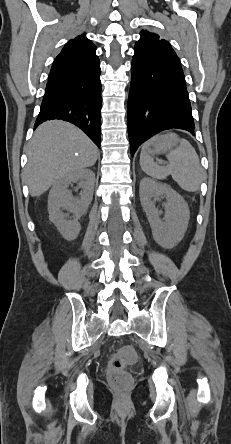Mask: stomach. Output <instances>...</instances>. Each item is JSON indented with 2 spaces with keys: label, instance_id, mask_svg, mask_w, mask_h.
Segmentation results:
<instances>
[{
  "label": "stomach",
  "instance_id": "obj_1",
  "mask_svg": "<svg viewBox=\"0 0 231 444\" xmlns=\"http://www.w3.org/2000/svg\"><path fill=\"white\" fill-rule=\"evenodd\" d=\"M167 138L164 141L156 142L149 149V154H157L172 149L178 143V138L174 134L165 135Z\"/></svg>",
  "mask_w": 231,
  "mask_h": 444
}]
</instances>
